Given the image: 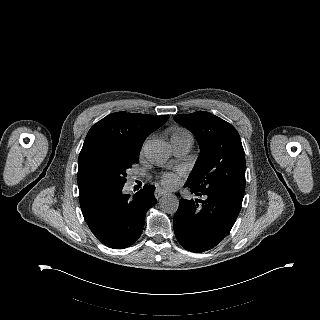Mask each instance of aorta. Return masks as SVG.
<instances>
[{
  "mask_svg": "<svg viewBox=\"0 0 320 320\" xmlns=\"http://www.w3.org/2000/svg\"><path fill=\"white\" fill-rule=\"evenodd\" d=\"M146 158L155 165L165 164L170 157V149L162 140H151L144 146ZM160 208L166 213H175L179 207V200L173 194H166L160 199Z\"/></svg>",
  "mask_w": 320,
  "mask_h": 320,
  "instance_id": "obj_1",
  "label": "aorta"
}]
</instances>
